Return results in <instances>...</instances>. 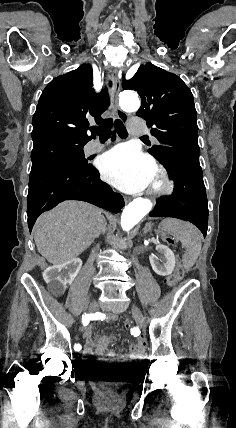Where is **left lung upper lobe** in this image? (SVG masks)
Instances as JSON below:
<instances>
[{"label": "left lung upper lobe", "mask_w": 236, "mask_h": 428, "mask_svg": "<svg viewBox=\"0 0 236 428\" xmlns=\"http://www.w3.org/2000/svg\"><path fill=\"white\" fill-rule=\"evenodd\" d=\"M124 89L135 90L142 105L137 115L144 118L159 141L148 150L166 166L177 163L201 168L199 163L198 126L193 95L175 74L152 63L141 65Z\"/></svg>", "instance_id": "obj_1"}]
</instances>
